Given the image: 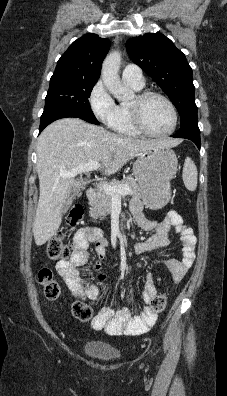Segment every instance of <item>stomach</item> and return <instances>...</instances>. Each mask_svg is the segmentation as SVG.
Masks as SVG:
<instances>
[{"mask_svg":"<svg viewBox=\"0 0 227 396\" xmlns=\"http://www.w3.org/2000/svg\"><path fill=\"white\" fill-rule=\"evenodd\" d=\"M178 160L170 148L159 146L141 152L133 165V175L141 189L146 207L163 208L171 198L170 181L177 172Z\"/></svg>","mask_w":227,"mask_h":396,"instance_id":"0dacf381","label":"stomach"}]
</instances>
